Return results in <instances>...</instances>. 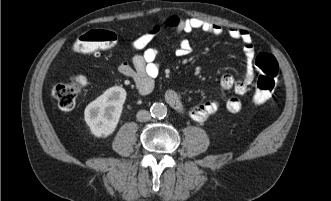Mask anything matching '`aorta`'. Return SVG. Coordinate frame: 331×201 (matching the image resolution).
I'll return each instance as SVG.
<instances>
[{"instance_id":"aorta-1","label":"aorta","mask_w":331,"mask_h":201,"mask_svg":"<svg viewBox=\"0 0 331 201\" xmlns=\"http://www.w3.org/2000/svg\"><path fill=\"white\" fill-rule=\"evenodd\" d=\"M167 114V107L163 103H154L151 106V115L157 119H163Z\"/></svg>"}]
</instances>
